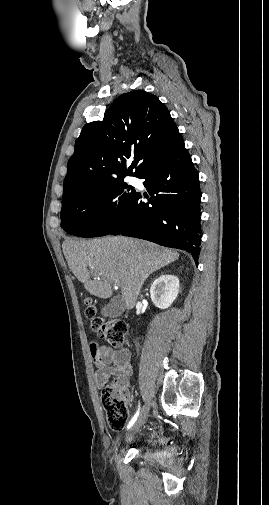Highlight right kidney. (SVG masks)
I'll list each match as a JSON object with an SVG mask.
<instances>
[{
    "label": "right kidney",
    "instance_id": "1",
    "mask_svg": "<svg viewBox=\"0 0 269 505\" xmlns=\"http://www.w3.org/2000/svg\"><path fill=\"white\" fill-rule=\"evenodd\" d=\"M178 292L179 279L168 274L158 277L150 288L152 302L161 309L168 308L177 298Z\"/></svg>",
    "mask_w": 269,
    "mask_h": 505
}]
</instances>
